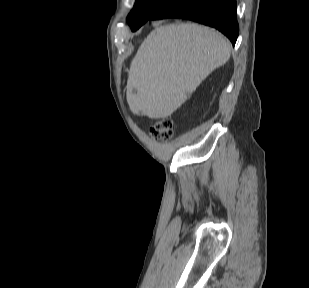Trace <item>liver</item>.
Wrapping results in <instances>:
<instances>
[{
  "instance_id": "1",
  "label": "liver",
  "mask_w": 309,
  "mask_h": 288,
  "mask_svg": "<svg viewBox=\"0 0 309 288\" xmlns=\"http://www.w3.org/2000/svg\"><path fill=\"white\" fill-rule=\"evenodd\" d=\"M230 42L195 23L158 25L130 66L127 102L136 115L171 116L210 73L230 58Z\"/></svg>"
}]
</instances>
